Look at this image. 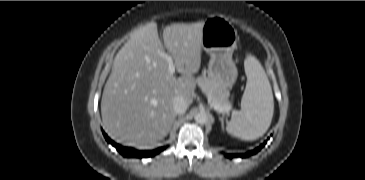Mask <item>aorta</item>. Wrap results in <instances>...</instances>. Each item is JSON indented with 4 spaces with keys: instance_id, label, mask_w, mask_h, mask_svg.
<instances>
[{
    "instance_id": "1",
    "label": "aorta",
    "mask_w": 365,
    "mask_h": 180,
    "mask_svg": "<svg viewBox=\"0 0 365 180\" xmlns=\"http://www.w3.org/2000/svg\"><path fill=\"white\" fill-rule=\"evenodd\" d=\"M196 123L206 124L208 121V115L205 112H199L194 116Z\"/></svg>"
}]
</instances>
